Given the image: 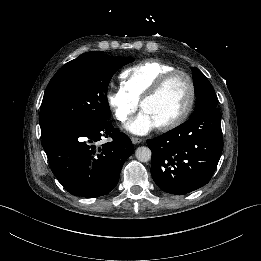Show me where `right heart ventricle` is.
<instances>
[{
    "label": "right heart ventricle",
    "instance_id": "e07e8e85",
    "mask_svg": "<svg viewBox=\"0 0 261 261\" xmlns=\"http://www.w3.org/2000/svg\"><path fill=\"white\" fill-rule=\"evenodd\" d=\"M172 70L175 67L165 61L146 59L122 71L120 88L140 102L160 77Z\"/></svg>",
    "mask_w": 261,
    "mask_h": 261
}]
</instances>
